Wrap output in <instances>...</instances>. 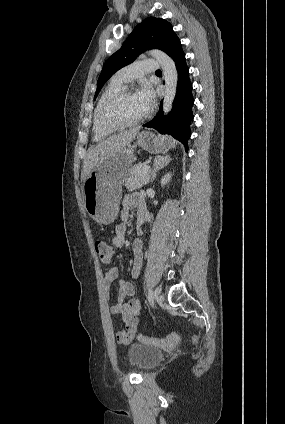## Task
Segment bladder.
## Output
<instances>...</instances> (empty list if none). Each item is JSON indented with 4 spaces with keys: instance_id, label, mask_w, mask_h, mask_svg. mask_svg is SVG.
Instances as JSON below:
<instances>
[{
    "instance_id": "bladder-1",
    "label": "bladder",
    "mask_w": 285,
    "mask_h": 424,
    "mask_svg": "<svg viewBox=\"0 0 285 424\" xmlns=\"http://www.w3.org/2000/svg\"><path fill=\"white\" fill-rule=\"evenodd\" d=\"M130 365L141 371H147L157 366L163 358V352L153 346L131 344L127 348Z\"/></svg>"
}]
</instances>
